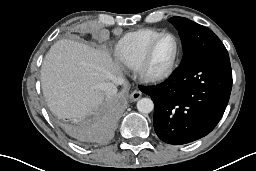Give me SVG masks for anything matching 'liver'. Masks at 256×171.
<instances>
[{"label":"liver","instance_id":"liver-1","mask_svg":"<svg viewBox=\"0 0 256 171\" xmlns=\"http://www.w3.org/2000/svg\"><path fill=\"white\" fill-rule=\"evenodd\" d=\"M120 67L106 51L63 39L51 46L41 67V85L52 113L60 119L94 108L104 100L102 86L115 82Z\"/></svg>","mask_w":256,"mask_h":171}]
</instances>
